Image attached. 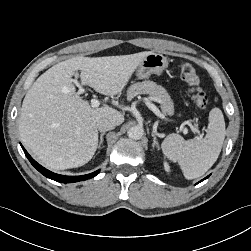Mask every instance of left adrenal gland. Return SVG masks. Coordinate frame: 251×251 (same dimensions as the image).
<instances>
[{
	"label": "left adrenal gland",
	"mask_w": 251,
	"mask_h": 251,
	"mask_svg": "<svg viewBox=\"0 0 251 251\" xmlns=\"http://www.w3.org/2000/svg\"><path fill=\"white\" fill-rule=\"evenodd\" d=\"M151 136L153 137V144H152L153 148L154 147L159 148V145H158V142H157V138H156V134H155L154 131L151 133Z\"/></svg>",
	"instance_id": "obj_1"
}]
</instances>
